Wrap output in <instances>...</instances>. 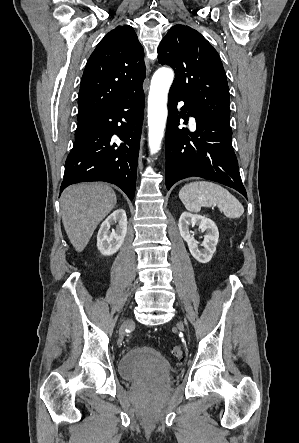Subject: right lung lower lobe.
Masks as SVG:
<instances>
[{"instance_id":"98d812e1","label":"right lung lower lobe","mask_w":299,"mask_h":443,"mask_svg":"<svg viewBox=\"0 0 299 443\" xmlns=\"http://www.w3.org/2000/svg\"><path fill=\"white\" fill-rule=\"evenodd\" d=\"M143 112L140 88L92 116L67 157L60 191L79 182L105 181L133 200Z\"/></svg>"}]
</instances>
